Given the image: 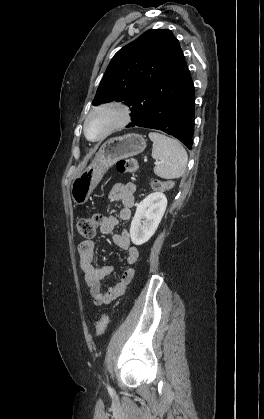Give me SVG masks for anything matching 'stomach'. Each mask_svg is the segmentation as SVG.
<instances>
[{
	"instance_id": "0dacf381",
	"label": "stomach",
	"mask_w": 264,
	"mask_h": 419,
	"mask_svg": "<svg viewBox=\"0 0 264 419\" xmlns=\"http://www.w3.org/2000/svg\"><path fill=\"white\" fill-rule=\"evenodd\" d=\"M146 148V139L140 134H126L108 139L95 158L72 181L70 193L76 205H83L106 171L117 161L135 156Z\"/></svg>"
}]
</instances>
